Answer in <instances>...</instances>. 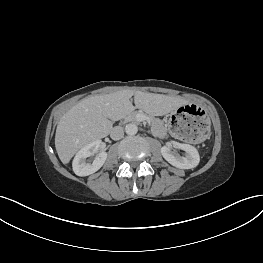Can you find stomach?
I'll list each match as a JSON object with an SVG mask.
<instances>
[{"mask_svg":"<svg viewBox=\"0 0 263 263\" xmlns=\"http://www.w3.org/2000/svg\"><path fill=\"white\" fill-rule=\"evenodd\" d=\"M171 129L182 142L189 145H200L211 134V122L202 108L188 105L173 114Z\"/></svg>","mask_w":263,"mask_h":263,"instance_id":"1","label":"stomach"}]
</instances>
